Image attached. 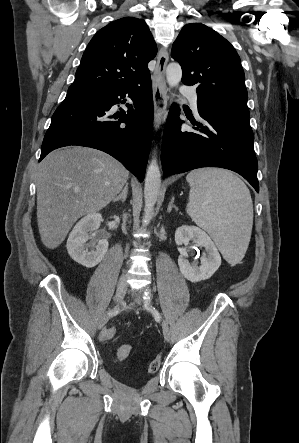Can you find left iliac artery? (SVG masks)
Here are the masks:
<instances>
[{"mask_svg": "<svg viewBox=\"0 0 299 443\" xmlns=\"http://www.w3.org/2000/svg\"><path fill=\"white\" fill-rule=\"evenodd\" d=\"M144 299L150 301V294H149V292H145Z\"/></svg>", "mask_w": 299, "mask_h": 443, "instance_id": "44dca946", "label": "left iliac artery"}]
</instances>
